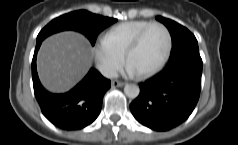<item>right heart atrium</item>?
<instances>
[{"label":"right heart atrium","mask_w":238,"mask_h":145,"mask_svg":"<svg viewBox=\"0 0 238 145\" xmlns=\"http://www.w3.org/2000/svg\"><path fill=\"white\" fill-rule=\"evenodd\" d=\"M94 58L99 71L106 77H112L122 65L124 54L100 38L94 46Z\"/></svg>","instance_id":"d8ad5b80"}]
</instances>
